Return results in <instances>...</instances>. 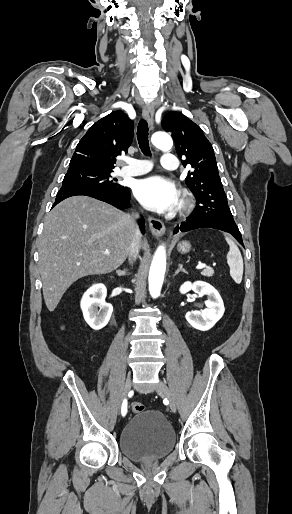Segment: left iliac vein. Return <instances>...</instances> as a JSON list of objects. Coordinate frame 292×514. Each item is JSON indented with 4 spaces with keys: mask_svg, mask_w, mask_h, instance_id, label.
<instances>
[{
    "mask_svg": "<svg viewBox=\"0 0 292 514\" xmlns=\"http://www.w3.org/2000/svg\"><path fill=\"white\" fill-rule=\"evenodd\" d=\"M156 391L158 394H160L161 396H163L164 398H166L168 400L171 411L176 412L175 400L173 398V395H172L169 387L166 385V383L164 381L161 380L158 383V385L156 386Z\"/></svg>",
    "mask_w": 292,
    "mask_h": 514,
    "instance_id": "left-iliac-vein-1",
    "label": "left iliac vein"
}]
</instances>
